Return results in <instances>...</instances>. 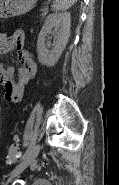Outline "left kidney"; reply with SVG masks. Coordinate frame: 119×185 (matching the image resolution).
<instances>
[{
    "mask_svg": "<svg viewBox=\"0 0 119 185\" xmlns=\"http://www.w3.org/2000/svg\"><path fill=\"white\" fill-rule=\"evenodd\" d=\"M71 15L69 12L52 13L45 19L37 41L38 60L48 67L54 66L64 51L70 36ZM58 29L56 43L51 51L45 48V37L52 28Z\"/></svg>",
    "mask_w": 119,
    "mask_h": 185,
    "instance_id": "obj_1",
    "label": "left kidney"
}]
</instances>
